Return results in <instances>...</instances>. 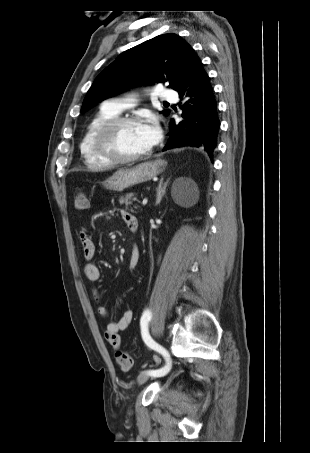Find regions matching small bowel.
I'll use <instances>...</instances> for the list:
<instances>
[{
  "mask_svg": "<svg viewBox=\"0 0 310 453\" xmlns=\"http://www.w3.org/2000/svg\"><path fill=\"white\" fill-rule=\"evenodd\" d=\"M122 218L130 230H135L138 226V222L136 217L127 212L121 211ZM79 240L81 243L82 254L84 260L86 261L84 266V274L87 280L90 282H98L101 278L100 269L92 263V259L95 255V244L86 232L85 229H81L79 232ZM140 260V250L139 248L134 245L131 249L130 253V261L129 267L133 270ZM93 296L96 303V310L97 313L102 318L108 317V311L105 306L101 303V297L97 289L93 290ZM133 311L126 310L123 315L115 321H111L106 325V329L104 332L105 339L111 345V347L115 350L119 349L121 346V339L119 333L124 331L128 328L130 323L133 320Z\"/></svg>",
  "mask_w": 310,
  "mask_h": 453,
  "instance_id": "obj_1",
  "label": "small bowel"
}]
</instances>
